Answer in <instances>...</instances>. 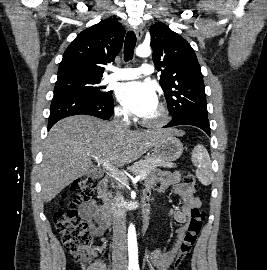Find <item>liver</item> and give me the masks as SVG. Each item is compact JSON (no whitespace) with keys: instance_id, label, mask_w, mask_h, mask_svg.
<instances>
[{"instance_id":"1","label":"liver","mask_w":267,"mask_h":270,"mask_svg":"<svg viewBox=\"0 0 267 270\" xmlns=\"http://www.w3.org/2000/svg\"><path fill=\"white\" fill-rule=\"evenodd\" d=\"M176 129L133 131L88 115L57 122L50 130L40 167L41 194L50 202L66 186L91 168V160L107 159L115 166L129 164Z\"/></svg>"}]
</instances>
